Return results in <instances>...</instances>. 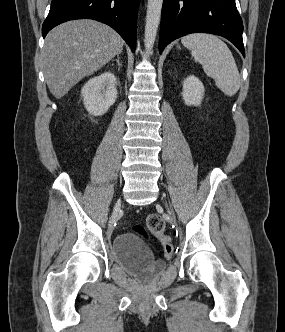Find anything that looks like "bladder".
I'll return each mask as SVG.
<instances>
[{"mask_svg": "<svg viewBox=\"0 0 285 332\" xmlns=\"http://www.w3.org/2000/svg\"><path fill=\"white\" fill-rule=\"evenodd\" d=\"M112 255L121 267L142 280H150L165 268L142 240L133 233L117 235L112 243Z\"/></svg>", "mask_w": 285, "mask_h": 332, "instance_id": "obj_1", "label": "bladder"}]
</instances>
